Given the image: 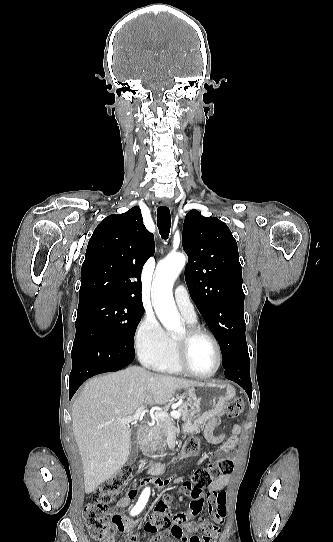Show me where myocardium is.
<instances>
[{"mask_svg": "<svg viewBox=\"0 0 333 542\" xmlns=\"http://www.w3.org/2000/svg\"><path fill=\"white\" fill-rule=\"evenodd\" d=\"M200 336H204L208 338L213 343L216 350V354H217L216 366L212 372L207 373V374H199V373L194 372L188 364L189 342L192 339L200 337ZM173 352H174V357L176 359V362L181 368V370L187 375L195 377V378L207 379V378H211L215 376L217 372L219 371L222 364V351H221V347L218 340L211 332L197 325L188 326L185 330V334L183 337H175L173 339Z\"/></svg>", "mask_w": 333, "mask_h": 542, "instance_id": "myocardium-1", "label": "myocardium"}]
</instances>
